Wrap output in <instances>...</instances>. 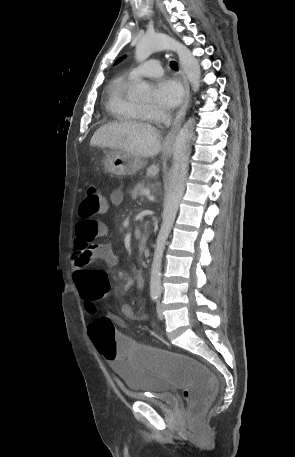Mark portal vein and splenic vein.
<instances>
[{"label": "portal vein and splenic vein", "mask_w": 295, "mask_h": 457, "mask_svg": "<svg viewBox=\"0 0 295 457\" xmlns=\"http://www.w3.org/2000/svg\"><path fill=\"white\" fill-rule=\"evenodd\" d=\"M142 194L144 196H149L150 195V190L149 189H145V190H143Z\"/></svg>", "instance_id": "1"}]
</instances>
